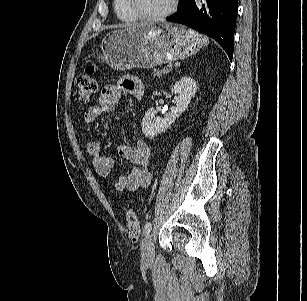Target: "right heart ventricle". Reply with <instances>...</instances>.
<instances>
[{
  "instance_id": "1",
  "label": "right heart ventricle",
  "mask_w": 307,
  "mask_h": 301,
  "mask_svg": "<svg viewBox=\"0 0 307 301\" xmlns=\"http://www.w3.org/2000/svg\"><path fill=\"white\" fill-rule=\"evenodd\" d=\"M113 6L118 18L121 21L126 23H133L138 20V18L133 14L132 10L130 9L127 0H114Z\"/></svg>"
}]
</instances>
